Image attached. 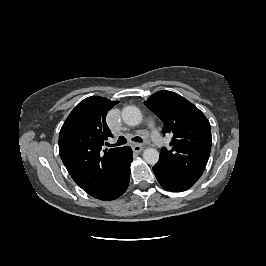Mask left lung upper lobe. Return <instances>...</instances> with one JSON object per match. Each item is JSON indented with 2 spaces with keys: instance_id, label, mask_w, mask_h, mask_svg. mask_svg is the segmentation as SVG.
I'll use <instances>...</instances> for the list:
<instances>
[{
  "instance_id": "5c2ea615",
  "label": "left lung upper lobe",
  "mask_w": 266,
  "mask_h": 266,
  "mask_svg": "<svg viewBox=\"0 0 266 266\" xmlns=\"http://www.w3.org/2000/svg\"><path fill=\"white\" fill-rule=\"evenodd\" d=\"M144 104L164 122L163 132L173 135L171 149L162 148L158 163L176 175L199 178L212 144L210 123L205 115L171 91H159Z\"/></svg>"
}]
</instances>
